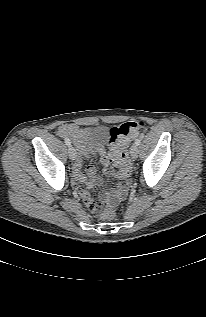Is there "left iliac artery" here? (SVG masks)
Instances as JSON below:
<instances>
[{
	"label": "left iliac artery",
	"mask_w": 206,
	"mask_h": 317,
	"mask_svg": "<svg viewBox=\"0 0 206 317\" xmlns=\"http://www.w3.org/2000/svg\"><path fill=\"white\" fill-rule=\"evenodd\" d=\"M140 143H141V140H140V139H136V140H135V145L138 146V145H140Z\"/></svg>",
	"instance_id": "44dca946"
}]
</instances>
